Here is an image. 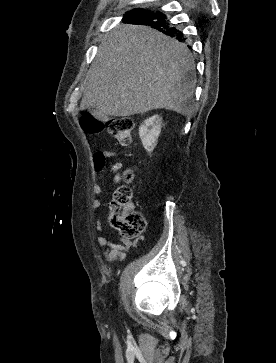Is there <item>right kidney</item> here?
I'll return each mask as SVG.
<instances>
[{
  "label": "right kidney",
  "instance_id": "ca27d5eb",
  "mask_svg": "<svg viewBox=\"0 0 276 363\" xmlns=\"http://www.w3.org/2000/svg\"><path fill=\"white\" fill-rule=\"evenodd\" d=\"M161 124L162 118L154 115L144 120L139 127V137L148 153H151L157 145V140L161 132Z\"/></svg>",
  "mask_w": 276,
  "mask_h": 363
}]
</instances>
